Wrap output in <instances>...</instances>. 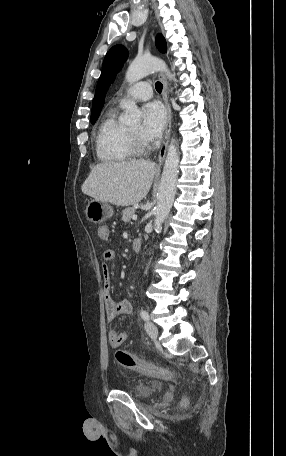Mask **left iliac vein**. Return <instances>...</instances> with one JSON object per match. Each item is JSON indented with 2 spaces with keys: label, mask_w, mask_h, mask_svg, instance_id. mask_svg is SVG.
<instances>
[{
  "label": "left iliac vein",
  "mask_w": 286,
  "mask_h": 456,
  "mask_svg": "<svg viewBox=\"0 0 286 456\" xmlns=\"http://www.w3.org/2000/svg\"><path fill=\"white\" fill-rule=\"evenodd\" d=\"M145 330L147 334L152 338H156L158 336L157 326L149 321L145 323Z\"/></svg>",
  "instance_id": "4c4485c4"
}]
</instances>
